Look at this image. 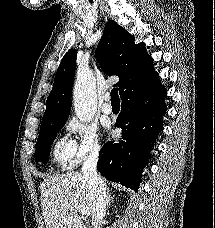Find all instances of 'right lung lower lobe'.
I'll use <instances>...</instances> for the list:
<instances>
[{"instance_id": "1", "label": "right lung lower lobe", "mask_w": 215, "mask_h": 228, "mask_svg": "<svg viewBox=\"0 0 215 228\" xmlns=\"http://www.w3.org/2000/svg\"><path fill=\"white\" fill-rule=\"evenodd\" d=\"M166 94L158 74L129 83L115 124L122 128V140L107 142L97 163V170L107 179L138 190L156 136L163 130Z\"/></svg>"}]
</instances>
